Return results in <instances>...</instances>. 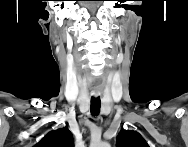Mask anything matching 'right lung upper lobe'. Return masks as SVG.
Segmentation results:
<instances>
[{"label":"right lung upper lobe","mask_w":188,"mask_h":147,"mask_svg":"<svg viewBox=\"0 0 188 147\" xmlns=\"http://www.w3.org/2000/svg\"><path fill=\"white\" fill-rule=\"evenodd\" d=\"M37 147H73V136L67 127L53 130L44 136Z\"/></svg>","instance_id":"right-lung-upper-lobe-1"}]
</instances>
